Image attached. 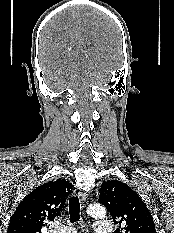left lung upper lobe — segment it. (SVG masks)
<instances>
[{"label":"left lung upper lobe","mask_w":174,"mask_h":233,"mask_svg":"<svg viewBox=\"0 0 174 233\" xmlns=\"http://www.w3.org/2000/svg\"><path fill=\"white\" fill-rule=\"evenodd\" d=\"M98 202L107 207L114 223L121 225L125 233H156L148 208L127 184L115 180L102 183Z\"/></svg>","instance_id":"5c2ea615"}]
</instances>
